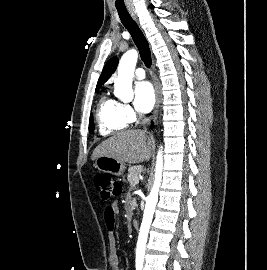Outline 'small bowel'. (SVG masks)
Wrapping results in <instances>:
<instances>
[{
  "instance_id": "small-bowel-1",
  "label": "small bowel",
  "mask_w": 267,
  "mask_h": 270,
  "mask_svg": "<svg viewBox=\"0 0 267 270\" xmlns=\"http://www.w3.org/2000/svg\"><path fill=\"white\" fill-rule=\"evenodd\" d=\"M118 212H119L118 205L115 203L108 205L104 212L105 221L109 229L108 242H109V247H110V252H111L112 270H124L116 259V253H117L116 239L112 231L115 217L118 214Z\"/></svg>"
}]
</instances>
